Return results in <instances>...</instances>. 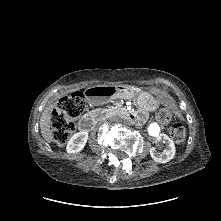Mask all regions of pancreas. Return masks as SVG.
I'll return each instance as SVG.
<instances>
[{
  "mask_svg": "<svg viewBox=\"0 0 221 221\" xmlns=\"http://www.w3.org/2000/svg\"><path fill=\"white\" fill-rule=\"evenodd\" d=\"M111 114V110H105V116Z\"/></svg>",
  "mask_w": 221,
  "mask_h": 221,
  "instance_id": "pancreas-1",
  "label": "pancreas"
}]
</instances>
